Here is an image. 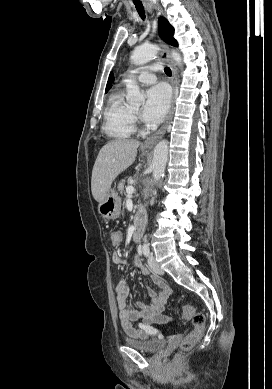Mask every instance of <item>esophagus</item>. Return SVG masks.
Segmentation results:
<instances>
[{
	"mask_svg": "<svg viewBox=\"0 0 272 389\" xmlns=\"http://www.w3.org/2000/svg\"><path fill=\"white\" fill-rule=\"evenodd\" d=\"M161 46H162V58L169 64L172 71V77H171V85L173 88L172 105L165 124L155 134L151 135L146 139V141L143 144V147L145 148H152L156 144V142L166 133V130L173 117V112H174V101L176 96V83H177L176 68L173 60L169 55V47L164 43H161Z\"/></svg>",
	"mask_w": 272,
	"mask_h": 389,
	"instance_id": "1",
	"label": "esophagus"
}]
</instances>
